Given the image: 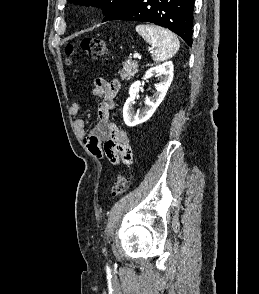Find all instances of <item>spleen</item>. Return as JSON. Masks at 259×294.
Masks as SVG:
<instances>
[{"mask_svg":"<svg viewBox=\"0 0 259 294\" xmlns=\"http://www.w3.org/2000/svg\"><path fill=\"white\" fill-rule=\"evenodd\" d=\"M136 31L150 45L155 47L152 58L162 62L172 58L180 47L178 38L169 30L159 26L142 24L136 26Z\"/></svg>","mask_w":259,"mask_h":294,"instance_id":"3e777b00","label":"spleen"}]
</instances>
